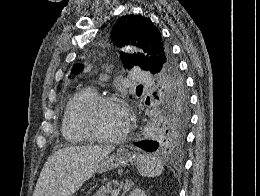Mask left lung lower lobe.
I'll return each instance as SVG.
<instances>
[{
	"instance_id": "obj_1",
	"label": "left lung lower lobe",
	"mask_w": 260,
	"mask_h": 196,
	"mask_svg": "<svg viewBox=\"0 0 260 196\" xmlns=\"http://www.w3.org/2000/svg\"><path fill=\"white\" fill-rule=\"evenodd\" d=\"M134 145L144 149L145 151L148 152H153L157 150V143L155 141L152 140H146V141H141V142H137L134 143Z\"/></svg>"
}]
</instances>
